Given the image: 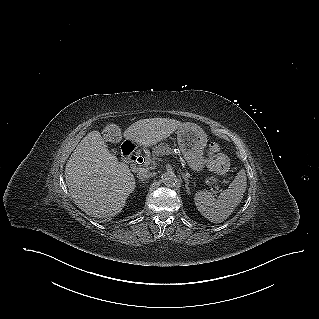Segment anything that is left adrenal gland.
I'll list each match as a JSON object with an SVG mask.
<instances>
[{"label":"left adrenal gland","instance_id":"left-adrenal-gland-1","mask_svg":"<svg viewBox=\"0 0 319 319\" xmlns=\"http://www.w3.org/2000/svg\"><path fill=\"white\" fill-rule=\"evenodd\" d=\"M182 175H183V178H184V180H185V182H186V184H185L186 191L190 194L189 180H188V178H187L184 174H182Z\"/></svg>","mask_w":319,"mask_h":319}]
</instances>
